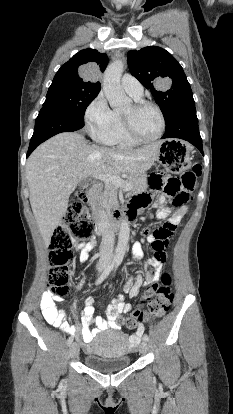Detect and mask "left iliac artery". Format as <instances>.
<instances>
[{"label": "left iliac artery", "mask_w": 233, "mask_h": 414, "mask_svg": "<svg viewBox=\"0 0 233 414\" xmlns=\"http://www.w3.org/2000/svg\"><path fill=\"white\" fill-rule=\"evenodd\" d=\"M120 265V263L118 262L117 264H116V268L118 267ZM143 340L144 341H146V342H148L149 341V337H148V335L147 334H144V336H143Z\"/></svg>", "instance_id": "obj_1"}]
</instances>
